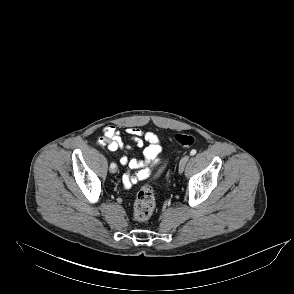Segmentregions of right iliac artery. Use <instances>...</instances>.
Wrapping results in <instances>:
<instances>
[{
  "mask_svg": "<svg viewBox=\"0 0 294 294\" xmlns=\"http://www.w3.org/2000/svg\"><path fill=\"white\" fill-rule=\"evenodd\" d=\"M110 167H116L115 163H111Z\"/></svg>",
  "mask_w": 294,
  "mask_h": 294,
  "instance_id": "obj_1",
  "label": "right iliac artery"
}]
</instances>
